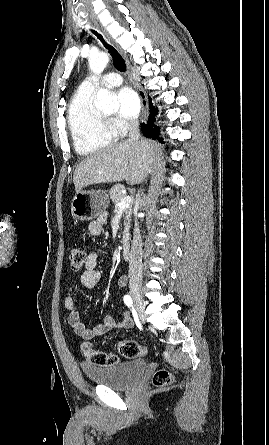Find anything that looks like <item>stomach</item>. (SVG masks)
<instances>
[{"label": "stomach", "mask_w": 269, "mask_h": 445, "mask_svg": "<svg viewBox=\"0 0 269 445\" xmlns=\"http://www.w3.org/2000/svg\"><path fill=\"white\" fill-rule=\"evenodd\" d=\"M109 205L106 191H80L71 203L73 216L80 221H90L102 214Z\"/></svg>", "instance_id": "0dacf381"}]
</instances>
